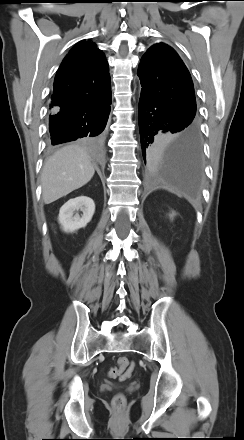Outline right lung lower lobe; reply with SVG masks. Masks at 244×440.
Returning <instances> with one entry per match:
<instances>
[{"label": "right lung lower lobe", "instance_id": "1", "mask_svg": "<svg viewBox=\"0 0 244 440\" xmlns=\"http://www.w3.org/2000/svg\"><path fill=\"white\" fill-rule=\"evenodd\" d=\"M111 95L99 103L70 112L52 111L49 117L51 144L87 137H102L110 113Z\"/></svg>", "mask_w": 244, "mask_h": 440}]
</instances>
